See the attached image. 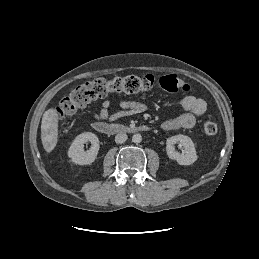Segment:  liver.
Listing matches in <instances>:
<instances>
[{
  "label": "liver",
  "mask_w": 259,
  "mask_h": 259,
  "mask_svg": "<svg viewBox=\"0 0 259 259\" xmlns=\"http://www.w3.org/2000/svg\"><path fill=\"white\" fill-rule=\"evenodd\" d=\"M58 116L55 108H50L42 117L41 141L47 153L52 152L58 142Z\"/></svg>",
  "instance_id": "6515ba94"
}]
</instances>
